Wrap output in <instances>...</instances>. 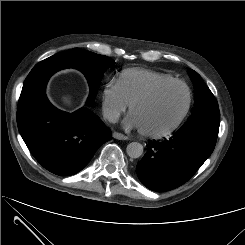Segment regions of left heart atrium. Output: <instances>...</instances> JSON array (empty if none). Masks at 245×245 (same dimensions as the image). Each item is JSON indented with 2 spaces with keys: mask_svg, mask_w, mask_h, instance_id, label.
Returning <instances> with one entry per match:
<instances>
[{
  "mask_svg": "<svg viewBox=\"0 0 245 245\" xmlns=\"http://www.w3.org/2000/svg\"><path fill=\"white\" fill-rule=\"evenodd\" d=\"M125 126L128 127V128H137L139 129V124H138V121L137 119L135 118V116L133 114H130L125 122H124Z\"/></svg>",
  "mask_w": 245,
  "mask_h": 245,
  "instance_id": "left-heart-atrium-1",
  "label": "left heart atrium"
}]
</instances>
